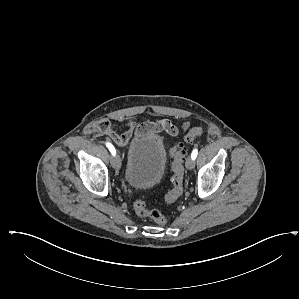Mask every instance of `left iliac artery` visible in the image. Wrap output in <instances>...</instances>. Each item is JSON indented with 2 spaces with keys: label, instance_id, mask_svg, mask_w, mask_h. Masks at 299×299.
Here are the masks:
<instances>
[{
  "label": "left iliac artery",
  "instance_id": "1",
  "mask_svg": "<svg viewBox=\"0 0 299 299\" xmlns=\"http://www.w3.org/2000/svg\"><path fill=\"white\" fill-rule=\"evenodd\" d=\"M197 154H198V149H194V150L192 151V153H191V158H192L193 160H195L196 157H197Z\"/></svg>",
  "mask_w": 299,
  "mask_h": 299
}]
</instances>
